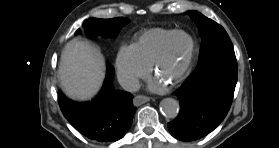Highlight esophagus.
<instances>
[{
    "label": "esophagus",
    "mask_w": 279,
    "mask_h": 148,
    "mask_svg": "<svg viewBox=\"0 0 279 148\" xmlns=\"http://www.w3.org/2000/svg\"><path fill=\"white\" fill-rule=\"evenodd\" d=\"M150 101V98L144 95H137L133 99V105L134 106H140L146 102Z\"/></svg>",
    "instance_id": "34e87169"
}]
</instances>
